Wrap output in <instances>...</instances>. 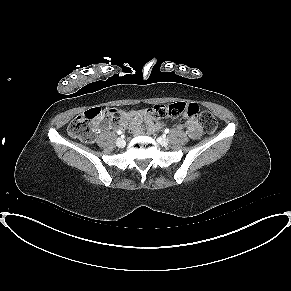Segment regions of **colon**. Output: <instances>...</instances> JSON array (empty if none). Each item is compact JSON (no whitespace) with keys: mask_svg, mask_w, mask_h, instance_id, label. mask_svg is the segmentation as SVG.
Wrapping results in <instances>:
<instances>
[{"mask_svg":"<svg viewBox=\"0 0 291 291\" xmlns=\"http://www.w3.org/2000/svg\"><path fill=\"white\" fill-rule=\"evenodd\" d=\"M198 107L195 104L174 103L168 106H155L150 111L152 119L176 116H196ZM118 117V111L112 108H91L71 121L68 127L69 134L80 140L91 142L94 140L101 120ZM201 126L206 134H213L217 129V121L210 112H202L199 116ZM141 129L144 126L141 125Z\"/></svg>","mask_w":291,"mask_h":291,"instance_id":"obj_1","label":"colon"}]
</instances>
